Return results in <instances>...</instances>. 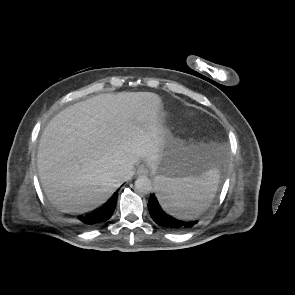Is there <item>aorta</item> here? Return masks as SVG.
<instances>
[{
	"label": "aorta",
	"instance_id": "762f6f07",
	"mask_svg": "<svg viewBox=\"0 0 295 295\" xmlns=\"http://www.w3.org/2000/svg\"><path fill=\"white\" fill-rule=\"evenodd\" d=\"M135 188L143 194H149L153 190L151 180L146 176H139L135 181Z\"/></svg>",
	"mask_w": 295,
	"mask_h": 295
}]
</instances>
